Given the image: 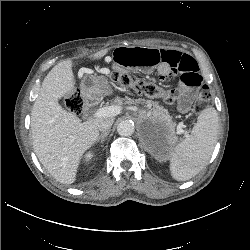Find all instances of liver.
<instances>
[{"instance_id":"liver-1","label":"liver","mask_w":250,"mask_h":250,"mask_svg":"<svg viewBox=\"0 0 250 250\" xmlns=\"http://www.w3.org/2000/svg\"><path fill=\"white\" fill-rule=\"evenodd\" d=\"M107 49L95 53L99 59ZM73 62L65 60L52 68L43 80L31 112L33 149L45 169L62 184L76 180L80 160L99 136L98 124L104 118L86 122L64 110L58 100L75 90Z\"/></svg>"}]
</instances>
